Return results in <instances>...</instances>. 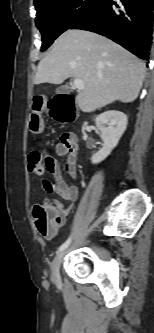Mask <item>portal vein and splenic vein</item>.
Instances as JSON below:
<instances>
[{
  "instance_id": "obj_1",
  "label": "portal vein and splenic vein",
  "mask_w": 154,
  "mask_h": 333,
  "mask_svg": "<svg viewBox=\"0 0 154 333\" xmlns=\"http://www.w3.org/2000/svg\"><path fill=\"white\" fill-rule=\"evenodd\" d=\"M73 85L78 90H82L84 88V83L81 79H74Z\"/></svg>"
}]
</instances>
